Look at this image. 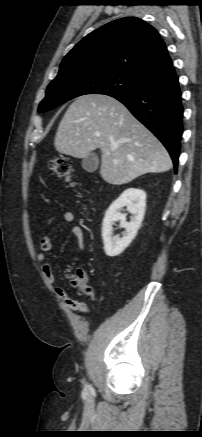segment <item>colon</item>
Returning a JSON list of instances; mask_svg holds the SVG:
<instances>
[{
  "label": "colon",
  "instance_id": "1",
  "mask_svg": "<svg viewBox=\"0 0 202 437\" xmlns=\"http://www.w3.org/2000/svg\"><path fill=\"white\" fill-rule=\"evenodd\" d=\"M48 169L56 174L58 177L65 179L68 182H72V162L67 157L52 158L47 163ZM71 284L76 287L80 292L89 294L91 288L87 282V278L84 272L80 269L70 270L68 273Z\"/></svg>",
  "mask_w": 202,
  "mask_h": 437
}]
</instances>
